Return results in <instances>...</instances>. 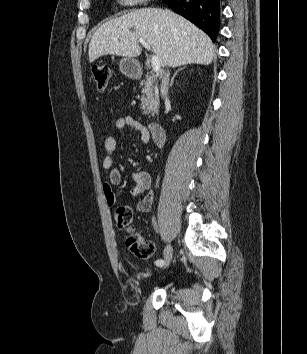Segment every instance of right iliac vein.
Masks as SVG:
<instances>
[{
	"mask_svg": "<svg viewBox=\"0 0 307 354\" xmlns=\"http://www.w3.org/2000/svg\"><path fill=\"white\" fill-rule=\"evenodd\" d=\"M173 256V248L171 245H167L165 252H164V262L165 264L163 266H161V268H165L168 266V264L170 263L171 259Z\"/></svg>",
	"mask_w": 307,
	"mask_h": 354,
	"instance_id": "63e3f726",
	"label": "right iliac vein"
}]
</instances>
